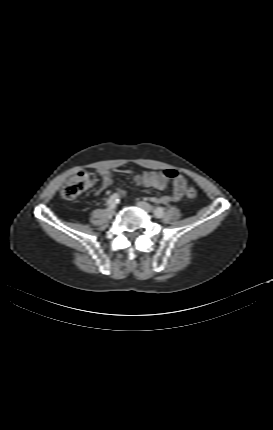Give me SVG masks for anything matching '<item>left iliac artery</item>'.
Masks as SVG:
<instances>
[{"label":"left iliac artery","mask_w":273,"mask_h":430,"mask_svg":"<svg viewBox=\"0 0 273 430\" xmlns=\"http://www.w3.org/2000/svg\"><path fill=\"white\" fill-rule=\"evenodd\" d=\"M154 215H155L157 218H161V217H163V215H164L163 208L158 207V208L154 209Z\"/></svg>","instance_id":"left-iliac-artery-1"}]
</instances>
